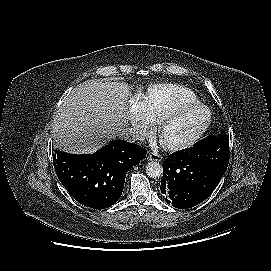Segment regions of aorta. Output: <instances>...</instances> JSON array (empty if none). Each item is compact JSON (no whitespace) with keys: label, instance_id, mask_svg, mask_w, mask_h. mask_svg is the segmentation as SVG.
Instances as JSON below:
<instances>
[{"label":"aorta","instance_id":"762f6f07","mask_svg":"<svg viewBox=\"0 0 271 271\" xmlns=\"http://www.w3.org/2000/svg\"><path fill=\"white\" fill-rule=\"evenodd\" d=\"M146 173L150 178L156 179L163 174V168L158 162L152 161L147 164Z\"/></svg>","mask_w":271,"mask_h":271}]
</instances>
